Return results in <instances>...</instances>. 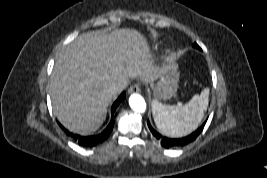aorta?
Masks as SVG:
<instances>
[{"mask_svg": "<svg viewBox=\"0 0 267 178\" xmlns=\"http://www.w3.org/2000/svg\"><path fill=\"white\" fill-rule=\"evenodd\" d=\"M129 105L136 112L142 113L146 110V102L140 94H132L129 97Z\"/></svg>", "mask_w": 267, "mask_h": 178, "instance_id": "obj_1", "label": "aorta"}]
</instances>
